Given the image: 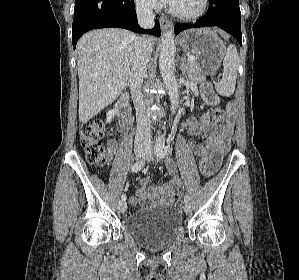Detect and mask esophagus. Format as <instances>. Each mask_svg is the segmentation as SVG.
Masks as SVG:
<instances>
[{"label": "esophagus", "instance_id": "34e87169", "mask_svg": "<svg viewBox=\"0 0 299 280\" xmlns=\"http://www.w3.org/2000/svg\"><path fill=\"white\" fill-rule=\"evenodd\" d=\"M160 24H161V27L165 30L170 29L172 27V22L164 17H162L160 19Z\"/></svg>", "mask_w": 299, "mask_h": 280}]
</instances>
